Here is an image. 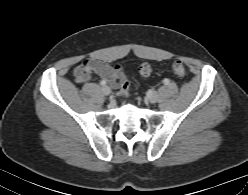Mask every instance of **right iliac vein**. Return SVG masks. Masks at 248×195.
Listing matches in <instances>:
<instances>
[{"label":"right iliac vein","instance_id":"63e3f726","mask_svg":"<svg viewBox=\"0 0 248 195\" xmlns=\"http://www.w3.org/2000/svg\"><path fill=\"white\" fill-rule=\"evenodd\" d=\"M102 92L104 95H109L111 93V89L108 86L102 87Z\"/></svg>","mask_w":248,"mask_h":195}]
</instances>
